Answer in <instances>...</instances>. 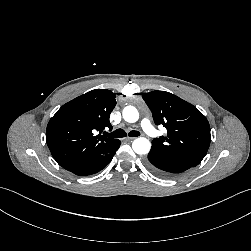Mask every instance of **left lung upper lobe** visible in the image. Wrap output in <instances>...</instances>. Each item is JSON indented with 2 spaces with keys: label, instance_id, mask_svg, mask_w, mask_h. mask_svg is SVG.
<instances>
[{
  "label": "left lung upper lobe",
  "instance_id": "obj_1",
  "mask_svg": "<svg viewBox=\"0 0 251 251\" xmlns=\"http://www.w3.org/2000/svg\"><path fill=\"white\" fill-rule=\"evenodd\" d=\"M142 97L155 124H162L167 129L166 137L152 141L151 150L197 166L205 157L211 140L205 116L192 104L166 91H152Z\"/></svg>",
  "mask_w": 251,
  "mask_h": 251
}]
</instances>
